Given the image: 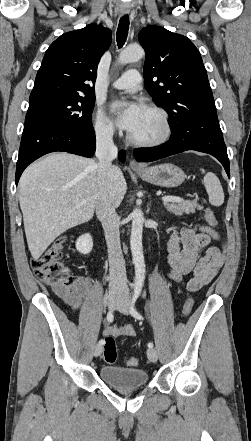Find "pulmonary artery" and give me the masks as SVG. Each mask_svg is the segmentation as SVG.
<instances>
[{
  "label": "pulmonary artery",
  "mask_w": 251,
  "mask_h": 441,
  "mask_svg": "<svg viewBox=\"0 0 251 441\" xmlns=\"http://www.w3.org/2000/svg\"><path fill=\"white\" fill-rule=\"evenodd\" d=\"M140 82V73L137 70H128L113 83V86L120 90H131L137 87Z\"/></svg>",
  "instance_id": "1"
}]
</instances>
